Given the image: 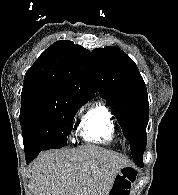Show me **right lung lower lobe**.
Here are the masks:
<instances>
[{
	"label": "right lung lower lobe",
	"instance_id": "right-lung-lower-lobe-1",
	"mask_svg": "<svg viewBox=\"0 0 178 195\" xmlns=\"http://www.w3.org/2000/svg\"><path fill=\"white\" fill-rule=\"evenodd\" d=\"M39 152L40 151L31 153V154H25L26 155V163L29 164L33 159H35L38 156Z\"/></svg>",
	"mask_w": 178,
	"mask_h": 195
}]
</instances>
